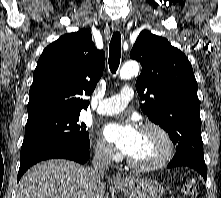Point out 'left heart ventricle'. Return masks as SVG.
I'll return each instance as SVG.
<instances>
[{
  "label": "left heart ventricle",
  "instance_id": "left-heart-ventricle-1",
  "mask_svg": "<svg viewBox=\"0 0 221 198\" xmlns=\"http://www.w3.org/2000/svg\"><path fill=\"white\" fill-rule=\"evenodd\" d=\"M164 144L153 131H140L139 140L129 157L142 164L151 163L162 154Z\"/></svg>",
  "mask_w": 221,
  "mask_h": 198
}]
</instances>
